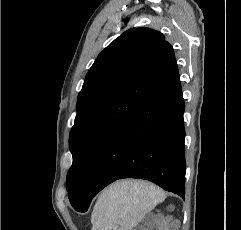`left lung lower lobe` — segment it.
<instances>
[{"label": "left lung lower lobe", "mask_w": 241, "mask_h": 230, "mask_svg": "<svg viewBox=\"0 0 241 230\" xmlns=\"http://www.w3.org/2000/svg\"><path fill=\"white\" fill-rule=\"evenodd\" d=\"M184 100L178 71L142 109L105 143L91 170L82 198L72 204L87 211L93 197L122 178H141L184 196Z\"/></svg>", "instance_id": "1"}]
</instances>
